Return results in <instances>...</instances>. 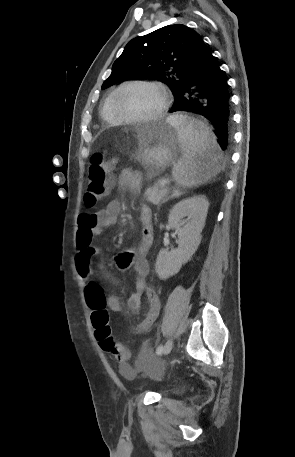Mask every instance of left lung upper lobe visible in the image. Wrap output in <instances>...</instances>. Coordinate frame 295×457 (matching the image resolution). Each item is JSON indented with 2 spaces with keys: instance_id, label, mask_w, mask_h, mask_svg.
<instances>
[{
  "instance_id": "5c2ea615",
  "label": "left lung upper lobe",
  "mask_w": 295,
  "mask_h": 457,
  "mask_svg": "<svg viewBox=\"0 0 295 457\" xmlns=\"http://www.w3.org/2000/svg\"><path fill=\"white\" fill-rule=\"evenodd\" d=\"M203 39L195 30L174 24L132 39L114 62L102 89L122 80H156L166 84L174 98L185 71Z\"/></svg>"
}]
</instances>
